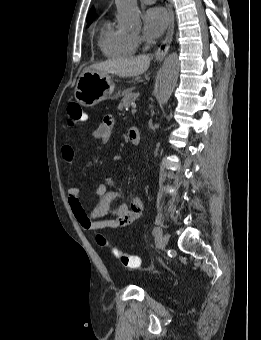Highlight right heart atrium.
<instances>
[{
	"label": "right heart atrium",
	"instance_id": "obj_1",
	"mask_svg": "<svg viewBox=\"0 0 261 340\" xmlns=\"http://www.w3.org/2000/svg\"><path fill=\"white\" fill-rule=\"evenodd\" d=\"M136 39H137L138 42H141V38L140 37L136 36Z\"/></svg>",
	"mask_w": 261,
	"mask_h": 340
}]
</instances>
